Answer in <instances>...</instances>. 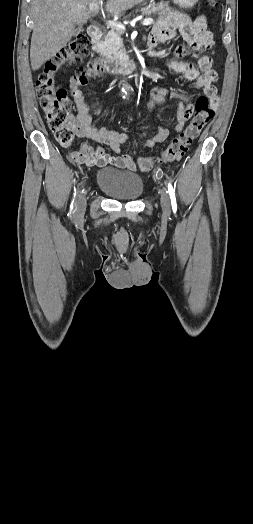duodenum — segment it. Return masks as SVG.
I'll list each match as a JSON object with an SVG mask.
<instances>
[{
    "label": "duodenum",
    "mask_w": 253,
    "mask_h": 524,
    "mask_svg": "<svg viewBox=\"0 0 253 524\" xmlns=\"http://www.w3.org/2000/svg\"><path fill=\"white\" fill-rule=\"evenodd\" d=\"M88 35L96 43L100 36V29L97 26L88 28ZM96 61L105 72L108 73H130L135 74L138 71V65L125 59L107 58L98 54Z\"/></svg>",
    "instance_id": "1"
}]
</instances>
